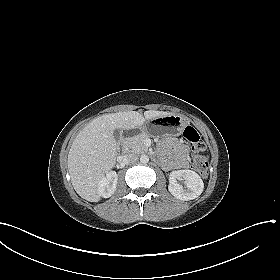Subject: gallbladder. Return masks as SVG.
<instances>
[{"instance_id": "obj_1", "label": "gallbladder", "mask_w": 280, "mask_h": 280, "mask_svg": "<svg viewBox=\"0 0 280 280\" xmlns=\"http://www.w3.org/2000/svg\"><path fill=\"white\" fill-rule=\"evenodd\" d=\"M114 137L117 142L120 141V130L119 129L114 130Z\"/></svg>"}]
</instances>
